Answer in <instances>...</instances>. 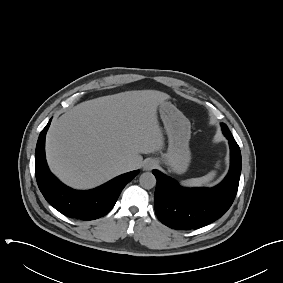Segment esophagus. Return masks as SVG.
<instances>
[{
	"label": "esophagus",
	"mask_w": 283,
	"mask_h": 283,
	"mask_svg": "<svg viewBox=\"0 0 283 283\" xmlns=\"http://www.w3.org/2000/svg\"><path fill=\"white\" fill-rule=\"evenodd\" d=\"M157 166V163L154 160H148L143 165V170L150 171Z\"/></svg>",
	"instance_id": "esophagus-1"
}]
</instances>
